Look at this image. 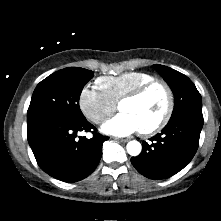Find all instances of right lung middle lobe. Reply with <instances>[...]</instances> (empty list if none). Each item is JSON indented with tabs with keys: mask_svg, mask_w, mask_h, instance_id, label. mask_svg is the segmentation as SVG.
<instances>
[{
	"mask_svg": "<svg viewBox=\"0 0 221 221\" xmlns=\"http://www.w3.org/2000/svg\"><path fill=\"white\" fill-rule=\"evenodd\" d=\"M93 76L90 70L68 67L45 78L33 92L27 111V125L52 116L84 118L79 98L83 87Z\"/></svg>",
	"mask_w": 221,
	"mask_h": 221,
	"instance_id": "dd1d6c3e",
	"label": "right lung middle lobe"
}]
</instances>
